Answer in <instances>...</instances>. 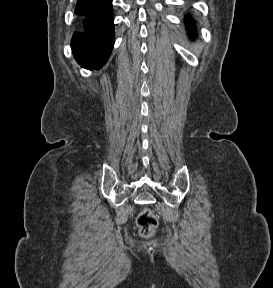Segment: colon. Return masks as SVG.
Instances as JSON below:
<instances>
[{
  "label": "colon",
  "instance_id": "obj_1",
  "mask_svg": "<svg viewBox=\"0 0 273 288\" xmlns=\"http://www.w3.org/2000/svg\"><path fill=\"white\" fill-rule=\"evenodd\" d=\"M157 224V217L148 208L143 209L137 217L139 232L143 237H151L156 230Z\"/></svg>",
  "mask_w": 273,
  "mask_h": 288
}]
</instances>
